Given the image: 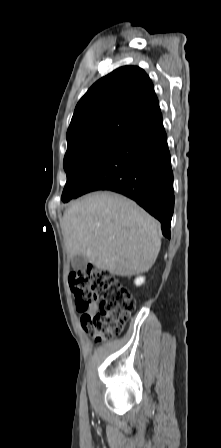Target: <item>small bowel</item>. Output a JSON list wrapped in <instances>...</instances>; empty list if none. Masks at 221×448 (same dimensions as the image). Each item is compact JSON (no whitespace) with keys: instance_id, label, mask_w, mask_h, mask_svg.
<instances>
[{"instance_id":"obj_1","label":"small bowel","mask_w":221,"mask_h":448,"mask_svg":"<svg viewBox=\"0 0 221 448\" xmlns=\"http://www.w3.org/2000/svg\"><path fill=\"white\" fill-rule=\"evenodd\" d=\"M95 310H96V306L94 305V306H92L90 311H95Z\"/></svg>"}]
</instances>
